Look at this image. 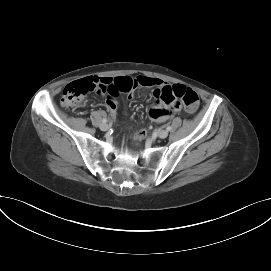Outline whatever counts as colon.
I'll return each mask as SVG.
<instances>
[{
    "mask_svg": "<svg viewBox=\"0 0 271 271\" xmlns=\"http://www.w3.org/2000/svg\"><path fill=\"white\" fill-rule=\"evenodd\" d=\"M96 83L97 80L85 78L68 84L63 90L61 105L75 109L84 106L87 94L98 93ZM161 98L167 103L180 100L188 112H194L199 104L197 92L179 84L163 88ZM145 133V131H142L139 136L142 137Z\"/></svg>",
    "mask_w": 271,
    "mask_h": 271,
    "instance_id": "5ec220e1",
    "label": "colon"
}]
</instances>
